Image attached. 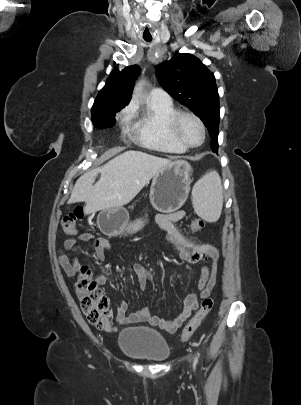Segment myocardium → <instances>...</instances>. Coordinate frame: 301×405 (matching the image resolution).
Instances as JSON below:
<instances>
[{"label": "myocardium", "instance_id": "myocardium-1", "mask_svg": "<svg viewBox=\"0 0 301 405\" xmlns=\"http://www.w3.org/2000/svg\"><path fill=\"white\" fill-rule=\"evenodd\" d=\"M185 117H190L192 119H194L198 125L200 126L201 132H202V140L199 144L197 145H191L189 143H187L184 138L182 137L181 133H180V123L182 121L183 118ZM168 129L169 132L171 133V135L181 144L183 145L185 148L187 149H194V148H198L200 147L206 139V127L203 123V121L201 120V118L199 116H197L195 113L193 112H189V111H177L169 120L168 122Z\"/></svg>", "mask_w": 301, "mask_h": 405}]
</instances>
